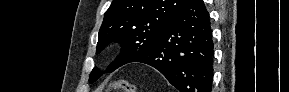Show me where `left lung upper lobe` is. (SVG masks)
Here are the masks:
<instances>
[{"label": "left lung upper lobe", "mask_w": 289, "mask_h": 92, "mask_svg": "<svg viewBox=\"0 0 289 92\" xmlns=\"http://www.w3.org/2000/svg\"><path fill=\"white\" fill-rule=\"evenodd\" d=\"M188 1L113 0L104 14L96 53H100L112 41L121 43L123 49L107 71L113 72L147 52ZM100 75L95 67L89 82L93 83Z\"/></svg>", "instance_id": "obj_1"}]
</instances>
